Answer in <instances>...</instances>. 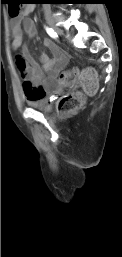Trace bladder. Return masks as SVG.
I'll return each instance as SVG.
<instances>
[{"instance_id": "31cf9c89", "label": "bladder", "mask_w": 122, "mask_h": 257, "mask_svg": "<svg viewBox=\"0 0 122 257\" xmlns=\"http://www.w3.org/2000/svg\"><path fill=\"white\" fill-rule=\"evenodd\" d=\"M28 104L39 111L46 112L50 109L49 101L47 98H42L38 100H29Z\"/></svg>"}]
</instances>
